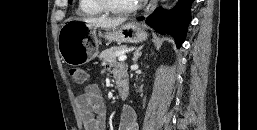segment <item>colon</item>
<instances>
[{
    "label": "colon",
    "instance_id": "colon-1",
    "mask_svg": "<svg viewBox=\"0 0 257 130\" xmlns=\"http://www.w3.org/2000/svg\"><path fill=\"white\" fill-rule=\"evenodd\" d=\"M68 74L73 79V81L77 84H82L86 80V72L78 67H69Z\"/></svg>",
    "mask_w": 257,
    "mask_h": 130
}]
</instances>
